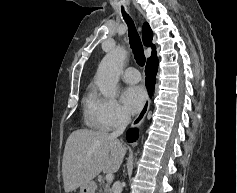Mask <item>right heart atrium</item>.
I'll use <instances>...</instances> for the list:
<instances>
[{
    "label": "right heart atrium",
    "instance_id": "right-heart-atrium-1",
    "mask_svg": "<svg viewBox=\"0 0 237 193\" xmlns=\"http://www.w3.org/2000/svg\"><path fill=\"white\" fill-rule=\"evenodd\" d=\"M92 112L97 128L103 131L125 126L129 121V115L114 97L94 96Z\"/></svg>",
    "mask_w": 237,
    "mask_h": 193
}]
</instances>
